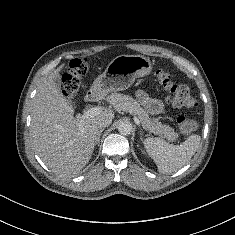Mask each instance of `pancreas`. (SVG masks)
Returning a JSON list of instances; mask_svg holds the SVG:
<instances>
[{
    "label": "pancreas",
    "mask_w": 235,
    "mask_h": 235,
    "mask_svg": "<svg viewBox=\"0 0 235 235\" xmlns=\"http://www.w3.org/2000/svg\"><path fill=\"white\" fill-rule=\"evenodd\" d=\"M109 103L116 109L131 112L138 117L143 128L155 135L174 141L178 138V133L169 125L162 124L158 118L150 119L148 113L140 104L129 95L112 93L108 96Z\"/></svg>",
    "instance_id": "pancreas-1"
}]
</instances>
